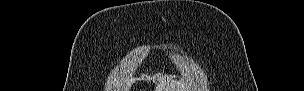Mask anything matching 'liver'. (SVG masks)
<instances>
[{
	"label": "liver",
	"instance_id": "liver-1",
	"mask_svg": "<svg viewBox=\"0 0 304 91\" xmlns=\"http://www.w3.org/2000/svg\"><path fill=\"white\" fill-rule=\"evenodd\" d=\"M156 76L158 78V83L155 91H191L189 90L191 89L190 85L187 86L184 80L176 81V76L174 75L156 74Z\"/></svg>",
	"mask_w": 304,
	"mask_h": 91
}]
</instances>
